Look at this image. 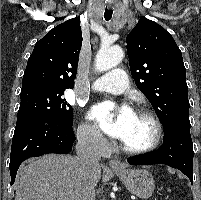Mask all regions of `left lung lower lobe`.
Masks as SVG:
<instances>
[{"label": "left lung lower lobe", "instance_id": "1", "mask_svg": "<svg viewBox=\"0 0 201 200\" xmlns=\"http://www.w3.org/2000/svg\"><path fill=\"white\" fill-rule=\"evenodd\" d=\"M162 146L153 152L129 158L132 165L165 164L179 169L193 183V143L190 121L178 120L164 128Z\"/></svg>", "mask_w": 201, "mask_h": 200}]
</instances>
